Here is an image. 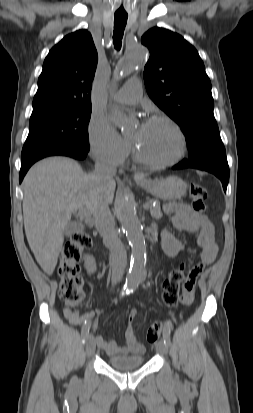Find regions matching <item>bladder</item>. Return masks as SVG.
Wrapping results in <instances>:
<instances>
[{
	"instance_id": "bladder-1",
	"label": "bladder",
	"mask_w": 253,
	"mask_h": 413,
	"mask_svg": "<svg viewBox=\"0 0 253 413\" xmlns=\"http://www.w3.org/2000/svg\"><path fill=\"white\" fill-rule=\"evenodd\" d=\"M108 364L117 370H132L144 364V357L140 354L112 356L108 359Z\"/></svg>"
}]
</instances>
